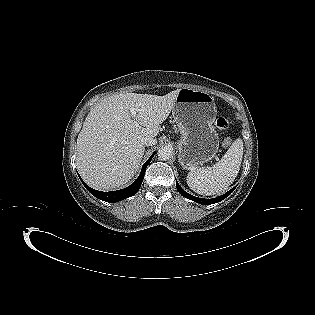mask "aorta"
Wrapping results in <instances>:
<instances>
[{
  "label": "aorta",
  "instance_id": "762f6f07",
  "mask_svg": "<svg viewBox=\"0 0 315 315\" xmlns=\"http://www.w3.org/2000/svg\"><path fill=\"white\" fill-rule=\"evenodd\" d=\"M173 155V149L170 146L161 147L158 150V158L160 160H169Z\"/></svg>",
  "mask_w": 315,
  "mask_h": 315
}]
</instances>
